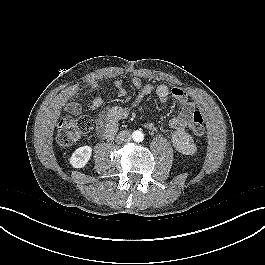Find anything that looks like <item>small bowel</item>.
Instances as JSON below:
<instances>
[{"mask_svg":"<svg viewBox=\"0 0 265 265\" xmlns=\"http://www.w3.org/2000/svg\"><path fill=\"white\" fill-rule=\"evenodd\" d=\"M132 84L137 89V94L131 104L126 106H113L100 112L97 121V132L103 138H112L118 130L119 122L125 119L143 100L155 93L161 102H166L172 97L179 105L180 110L174 115L169 125L173 129L171 141L177 151L185 155H193L196 152V144L192 136L187 131V125L194 111L196 104L189 101L186 91L181 87H169L166 84H159L154 87L150 83H145L139 76L132 78ZM113 85L120 96L126 94L124 83L121 79H116ZM99 89L98 84L92 83L91 91L94 93ZM75 94V90L71 89L66 92L67 97ZM104 103L102 97L93 96L88 109L93 111L99 109ZM66 110L71 114L77 115L81 112V105L76 101H69L66 104ZM146 127L155 129L156 125L152 122H146Z\"/></svg>","mask_w":265,"mask_h":265,"instance_id":"1","label":"small bowel"}]
</instances>
